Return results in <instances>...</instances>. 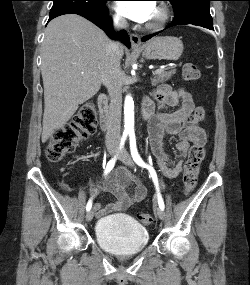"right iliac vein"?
<instances>
[{
    "label": "right iliac vein",
    "mask_w": 250,
    "mask_h": 285,
    "mask_svg": "<svg viewBox=\"0 0 250 285\" xmlns=\"http://www.w3.org/2000/svg\"><path fill=\"white\" fill-rule=\"evenodd\" d=\"M108 153L110 156H114L116 153V148L115 147H110L108 148ZM94 215V211L93 210H89L86 214V221H91Z\"/></svg>",
    "instance_id": "1"
}]
</instances>
